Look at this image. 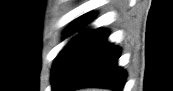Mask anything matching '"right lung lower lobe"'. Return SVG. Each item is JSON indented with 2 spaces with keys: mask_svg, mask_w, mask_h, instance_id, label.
I'll return each instance as SVG.
<instances>
[{
  "mask_svg": "<svg viewBox=\"0 0 173 91\" xmlns=\"http://www.w3.org/2000/svg\"><path fill=\"white\" fill-rule=\"evenodd\" d=\"M107 36L108 31L99 28L72 40L52 75L53 91L88 86L122 91L127 74L117 66L120 48L108 43Z\"/></svg>",
  "mask_w": 173,
  "mask_h": 91,
  "instance_id": "98d812e1",
  "label": "right lung lower lobe"
}]
</instances>
